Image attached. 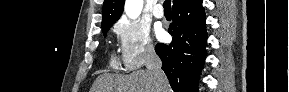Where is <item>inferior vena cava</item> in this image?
Wrapping results in <instances>:
<instances>
[{
    "instance_id": "602c4592",
    "label": "inferior vena cava",
    "mask_w": 289,
    "mask_h": 92,
    "mask_svg": "<svg viewBox=\"0 0 289 92\" xmlns=\"http://www.w3.org/2000/svg\"><path fill=\"white\" fill-rule=\"evenodd\" d=\"M146 52V67L154 75V80L158 92H163L166 87L167 78L162 70L161 59L156 54L152 45L147 46Z\"/></svg>"
}]
</instances>
